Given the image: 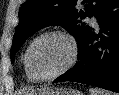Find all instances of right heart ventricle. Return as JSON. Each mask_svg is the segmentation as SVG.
Instances as JSON below:
<instances>
[{"label": "right heart ventricle", "mask_w": 119, "mask_h": 95, "mask_svg": "<svg viewBox=\"0 0 119 95\" xmlns=\"http://www.w3.org/2000/svg\"><path fill=\"white\" fill-rule=\"evenodd\" d=\"M23 63H24V69H25V73H26V76H27L28 80H30V81H36V79H34V78L29 74V72L27 71L24 61H23Z\"/></svg>", "instance_id": "e07e8e85"}]
</instances>
